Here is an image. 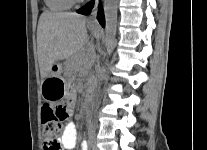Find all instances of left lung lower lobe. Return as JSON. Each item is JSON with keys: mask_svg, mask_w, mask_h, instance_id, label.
I'll return each instance as SVG.
<instances>
[{"mask_svg": "<svg viewBox=\"0 0 207 150\" xmlns=\"http://www.w3.org/2000/svg\"><path fill=\"white\" fill-rule=\"evenodd\" d=\"M94 3H95L94 0L89 2L84 7L77 10V12L80 13V14H83V15H88L91 12V10L93 9ZM97 19H98L99 23L102 25V27H105V18H104V14H103L101 5H99V11H98Z\"/></svg>", "mask_w": 207, "mask_h": 150, "instance_id": "left-lung-lower-lobe-1", "label": "left lung lower lobe"}]
</instances>
